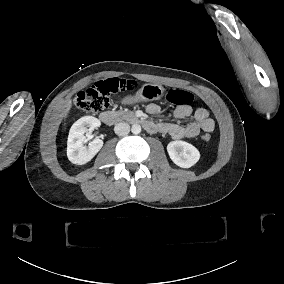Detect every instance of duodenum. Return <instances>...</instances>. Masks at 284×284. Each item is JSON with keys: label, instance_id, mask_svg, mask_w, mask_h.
<instances>
[{"label": "duodenum", "instance_id": "obj_1", "mask_svg": "<svg viewBox=\"0 0 284 284\" xmlns=\"http://www.w3.org/2000/svg\"><path fill=\"white\" fill-rule=\"evenodd\" d=\"M131 121L137 125L146 128L148 121L143 120L141 117L130 116ZM99 120L106 125H115L118 121V116L112 111H105L99 114Z\"/></svg>", "mask_w": 284, "mask_h": 284}]
</instances>
